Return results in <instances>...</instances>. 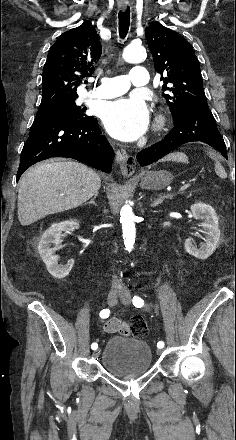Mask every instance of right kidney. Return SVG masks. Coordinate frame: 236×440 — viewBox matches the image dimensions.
<instances>
[{
    "instance_id": "right-kidney-1",
    "label": "right kidney",
    "mask_w": 236,
    "mask_h": 440,
    "mask_svg": "<svg viewBox=\"0 0 236 440\" xmlns=\"http://www.w3.org/2000/svg\"><path fill=\"white\" fill-rule=\"evenodd\" d=\"M78 228L79 223L76 221H63L49 227L40 239L38 245L39 254L48 272L56 279H63L69 275L74 265V260L70 259L65 265H59L58 257L53 255L54 248L51 247V244H54L55 247L58 248L62 242V232L67 230L74 231Z\"/></svg>"
}]
</instances>
